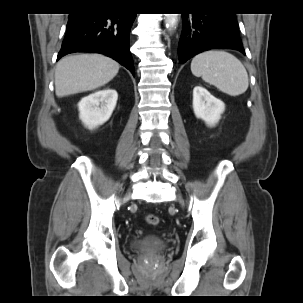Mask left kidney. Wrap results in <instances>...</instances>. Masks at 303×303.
I'll use <instances>...</instances> for the list:
<instances>
[{"instance_id":"obj_1","label":"left kidney","mask_w":303,"mask_h":303,"mask_svg":"<svg viewBox=\"0 0 303 303\" xmlns=\"http://www.w3.org/2000/svg\"><path fill=\"white\" fill-rule=\"evenodd\" d=\"M193 110L197 118L202 119L208 126L217 124L225 110V104L211 95L204 87L195 86L193 89Z\"/></svg>"}]
</instances>
